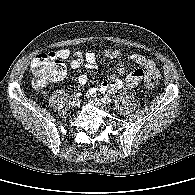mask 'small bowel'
<instances>
[{"mask_svg": "<svg viewBox=\"0 0 195 195\" xmlns=\"http://www.w3.org/2000/svg\"><path fill=\"white\" fill-rule=\"evenodd\" d=\"M51 54L60 59L72 57L71 67L74 69L83 65L90 69L95 68L96 55L92 51H80L63 48ZM104 55L108 59H115L121 55V52L119 50L107 49L105 50ZM130 59L140 67L126 75L124 79H122L121 76L125 74V70L123 68H119L117 73L110 77V82L105 81L99 87L91 88L88 92L89 95H94L96 93L115 94L124 85L134 88L141 81L147 82L151 79H156L159 77V70L152 59H149L142 54H132L130 55ZM78 82L81 85H85L88 82L87 75L81 74L78 77Z\"/></svg>", "mask_w": 195, "mask_h": 195, "instance_id": "c3829d8e", "label": "small bowel"}]
</instances>
